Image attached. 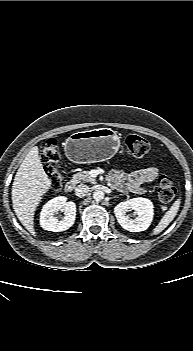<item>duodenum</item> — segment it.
I'll return each instance as SVG.
<instances>
[{
  "label": "duodenum",
  "mask_w": 193,
  "mask_h": 351,
  "mask_svg": "<svg viewBox=\"0 0 193 351\" xmlns=\"http://www.w3.org/2000/svg\"><path fill=\"white\" fill-rule=\"evenodd\" d=\"M65 190L66 192L71 193L74 190V184L72 182L66 183Z\"/></svg>",
  "instance_id": "410a0bca"
}]
</instances>
